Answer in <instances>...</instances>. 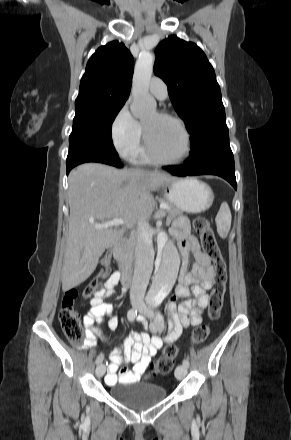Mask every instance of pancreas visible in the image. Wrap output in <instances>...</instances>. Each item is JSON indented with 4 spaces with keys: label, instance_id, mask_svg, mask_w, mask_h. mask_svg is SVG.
I'll return each mask as SVG.
<instances>
[{
    "label": "pancreas",
    "instance_id": "cf45deb5",
    "mask_svg": "<svg viewBox=\"0 0 291 440\" xmlns=\"http://www.w3.org/2000/svg\"><path fill=\"white\" fill-rule=\"evenodd\" d=\"M161 203H165L168 206V208L166 209V212L168 214L167 223H170L174 218L182 214V211L180 209L171 205L169 202L161 200ZM135 243H136L135 235H131L130 238L124 243V245L121 248L122 257L124 259H128L129 261H132Z\"/></svg>",
    "mask_w": 291,
    "mask_h": 440
}]
</instances>
